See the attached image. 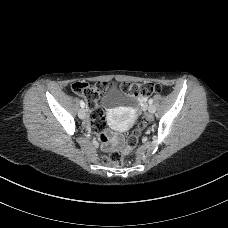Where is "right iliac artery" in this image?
Listing matches in <instances>:
<instances>
[{
	"label": "right iliac artery",
	"instance_id": "obj_1",
	"mask_svg": "<svg viewBox=\"0 0 228 228\" xmlns=\"http://www.w3.org/2000/svg\"><path fill=\"white\" fill-rule=\"evenodd\" d=\"M80 106H81L82 108L85 107V103H84L82 100L80 101Z\"/></svg>",
	"mask_w": 228,
	"mask_h": 228
}]
</instances>
